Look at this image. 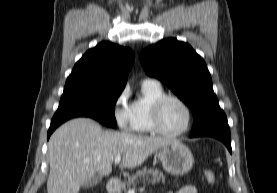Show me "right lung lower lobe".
<instances>
[{"label":"right lung lower lobe","mask_w":277,"mask_h":193,"mask_svg":"<svg viewBox=\"0 0 277 193\" xmlns=\"http://www.w3.org/2000/svg\"><path fill=\"white\" fill-rule=\"evenodd\" d=\"M74 117H79V116H69V115H55L51 121V125L50 128L48 130V134H47V138L49 139L50 135L52 134V132L59 126L61 125L63 122L74 118Z\"/></svg>","instance_id":"1"}]
</instances>
